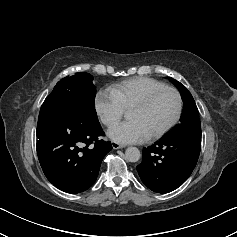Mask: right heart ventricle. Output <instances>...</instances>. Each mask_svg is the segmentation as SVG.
Returning <instances> with one entry per match:
<instances>
[{"label":"right heart ventricle","mask_w":237,"mask_h":237,"mask_svg":"<svg viewBox=\"0 0 237 237\" xmlns=\"http://www.w3.org/2000/svg\"><path fill=\"white\" fill-rule=\"evenodd\" d=\"M165 86L164 83L151 78L136 77L115 84L111 89L118 95L124 108H128L151 91Z\"/></svg>","instance_id":"e07e8e85"}]
</instances>
